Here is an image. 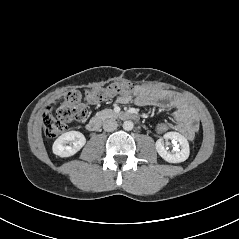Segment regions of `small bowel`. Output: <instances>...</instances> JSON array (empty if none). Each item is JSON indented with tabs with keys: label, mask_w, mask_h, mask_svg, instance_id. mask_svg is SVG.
Here are the masks:
<instances>
[{
	"label": "small bowel",
	"mask_w": 239,
	"mask_h": 239,
	"mask_svg": "<svg viewBox=\"0 0 239 239\" xmlns=\"http://www.w3.org/2000/svg\"><path fill=\"white\" fill-rule=\"evenodd\" d=\"M129 100V95H121L117 98L120 103H127ZM135 103L138 106L171 109L175 120L173 129L187 139H192L199 129V119L194 110L182 98L170 91L139 86L135 89Z\"/></svg>",
	"instance_id": "small-bowel-1"
}]
</instances>
